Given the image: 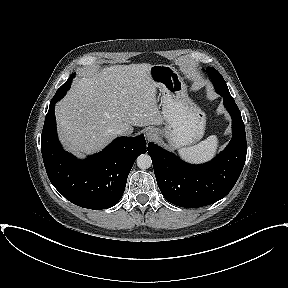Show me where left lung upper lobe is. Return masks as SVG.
<instances>
[{
    "label": "left lung upper lobe",
    "mask_w": 288,
    "mask_h": 288,
    "mask_svg": "<svg viewBox=\"0 0 288 288\" xmlns=\"http://www.w3.org/2000/svg\"><path fill=\"white\" fill-rule=\"evenodd\" d=\"M207 72L215 86L216 92L220 95H230L227 84L220 73L213 67H208Z\"/></svg>",
    "instance_id": "left-lung-upper-lobe-1"
}]
</instances>
